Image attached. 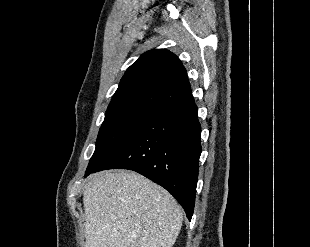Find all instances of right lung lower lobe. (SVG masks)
I'll return each instance as SVG.
<instances>
[{
    "instance_id": "obj_1",
    "label": "right lung lower lobe",
    "mask_w": 310,
    "mask_h": 247,
    "mask_svg": "<svg viewBox=\"0 0 310 247\" xmlns=\"http://www.w3.org/2000/svg\"><path fill=\"white\" fill-rule=\"evenodd\" d=\"M201 126L192 95L144 123L108 160L105 169L136 171L169 191L191 220L201 154Z\"/></svg>"
}]
</instances>
